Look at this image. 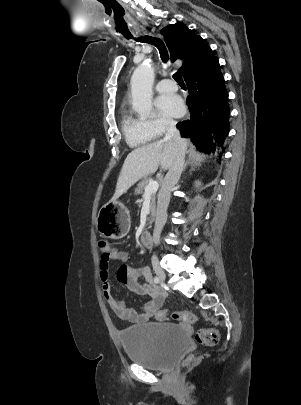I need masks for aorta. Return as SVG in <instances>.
<instances>
[{"instance_id":"1","label":"aorta","mask_w":301,"mask_h":405,"mask_svg":"<svg viewBox=\"0 0 301 405\" xmlns=\"http://www.w3.org/2000/svg\"><path fill=\"white\" fill-rule=\"evenodd\" d=\"M153 82L154 70L147 61L139 65L131 77L133 109L143 117L151 113Z\"/></svg>"}]
</instances>
